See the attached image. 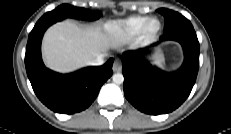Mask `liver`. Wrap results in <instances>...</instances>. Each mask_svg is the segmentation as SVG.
<instances>
[{"instance_id": "obj_1", "label": "liver", "mask_w": 231, "mask_h": 134, "mask_svg": "<svg viewBox=\"0 0 231 134\" xmlns=\"http://www.w3.org/2000/svg\"><path fill=\"white\" fill-rule=\"evenodd\" d=\"M126 43L122 33L114 28H80L70 21H62L44 34L42 53L47 67L66 73L89 65L91 60L105 54L110 46Z\"/></svg>"}]
</instances>
